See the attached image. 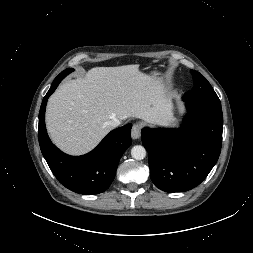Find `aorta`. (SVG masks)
<instances>
[{"mask_svg": "<svg viewBox=\"0 0 253 253\" xmlns=\"http://www.w3.org/2000/svg\"><path fill=\"white\" fill-rule=\"evenodd\" d=\"M131 156L136 160H142L146 156V150L141 145H136L131 149Z\"/></svg>", "mask_w": 253, "mask_h": 253, "instance_id": "762f6f07", "label": "aorta"}]
</instances>
